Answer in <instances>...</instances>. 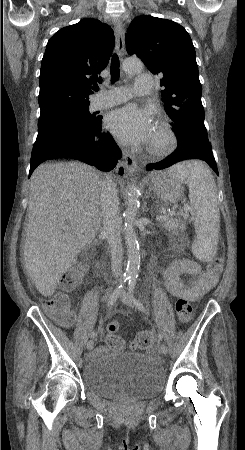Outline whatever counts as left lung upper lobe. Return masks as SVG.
Here are the masks:
<instances>
[{
  "instance_id": "obj_1",
  "label": "left lung upper lobe",
  "mask_w": 245,
  "mask_h": 450,
  "mask_svg": "<svg viewBox=\"0 0 245 450\" xmlns=\"http://www.w3.org/2000/svg\"><path fill=\"white\" fill-rule=\"evenodd\" d=\"M125 41L130 55L163 76L162 101L175 123L178 147L209 146L195 49L187 31L171 20L143 15L132 21Z\"/></svg>"
}]
</instances>
